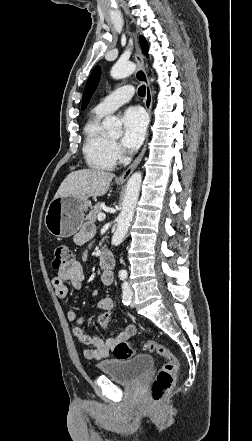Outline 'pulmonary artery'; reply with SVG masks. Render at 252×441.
Wrapping results in <instances>:
<instances>
[{"label": "pulmonary artery", "instance_id": "obj_1", "mask_svg": "<svg viewBox=\"0 0 252 441\" xmlns=\"http://www.w3.org/2000/svg\"><path fill=\"white\" fill-rule=\"evenodd\" d=\"M134 94V87L131 85L122 86L110 95L105 97L96 107L95 110L102 114H109L128 102Z\"/></svg>", "mask_w": 252, "mask_h": 441}]
</instances>
